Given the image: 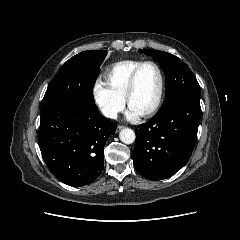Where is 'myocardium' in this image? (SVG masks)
Returning a JSON list of instances; mask_svg holds the SVG:
<instances>
[{
  "instance_id": "1",
  "label": "myocardium",
  "mask_w": 240,
  "mask_h": 240,
  "mask_svg": "<svg viewBox=\"0 0 240 240\" xmlns=\"http://www.w3.org/2000/svg\"><path fill=\"white\" fill-rule=\"evenodd\" d=\"M146 65H151L157 70L158 75H159V89H158L157 97H156L153 105L146 112L141 114V116H143V117H149V116L153 115L159 109L162 99H163L164 89H165V77H164V73H163L161 67L154 61H143L133 70V72L130 75L126 94H125L126 103L128 105L130 104V98L136 88V81H137L138 74H139L140 70Z\"/></svg>"
}]
</instances>
